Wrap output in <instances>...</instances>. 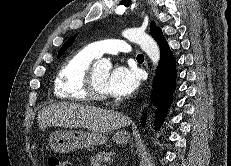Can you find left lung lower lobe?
Masks as SVG:
<instances>
[{
	"mask_svg": "<svg viewBox=\"0 0 231 166\" xmlns=\"http://www.w3.org/2000/svg\"><path fill=\"white\" fill-rule=\"evenodd\" d=\"M154 39L159 45L161 57L159 66L156 70L157 74L153 83V93L151 94V98L152 102L157 107L155 126L159 129L165 119L168 107L173 100L177 72L176 60L170 51L162 32H160ZM142 123H145V118Z\"/></svg>",
	"mask_w": 231,
	"mask_h": 166,
	"instance_id": "1",
	"label": "left lung lower lobe"
}]
</instances>
